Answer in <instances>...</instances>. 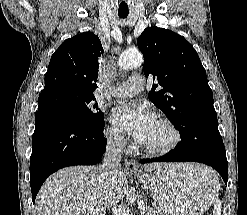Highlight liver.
Wrapping results in <instances>:
<instances>
[{
  "label": "liver",
  "instance_id": "1",
  "mask_svg": "<svg viewBox=\"0 0 247 215\" xmlns=\"http://www.w3.org/2000/svg\"><path fill=\"white\" fill-rule=\"evenodd\" d=\"M165 164L145 166L153 171ZM198 165L183 164L190 173ZM207 168V167H206ZM209 173H214L207 168ZM128 174L119 170L115 182L107 181L101 166H73L59 170L42 185L35 201L37 215H105L114 210L128 191Z\"/></svg>",
  "mask_w": 247,
  "mask_h": 215
}]
</instances>
